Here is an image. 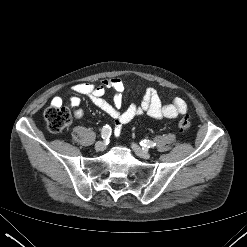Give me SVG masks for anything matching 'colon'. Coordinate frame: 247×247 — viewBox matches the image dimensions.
Listing matches in <instances>:
<instances>
[{
    "label": "colon",
    "instance_id": "5ec220e1",
    "mask_svg": "<svg viewBox=\"0 0 247 247\" xmlns=\"http://www.w3.org/2000/svg\"><path fill=\"white\" fill-rule=\"evenodd\" d=\"M47 126L51 132L59 133L63 131L71 123L70 111L62 106L52 105L44 112ZM191 126V122L187 117H182L178 122L181 131H187ZM120 132V131H119Z\"/></svg>",
    "mask_w": 247,
    "mask_h": 247
}]
</instances>
